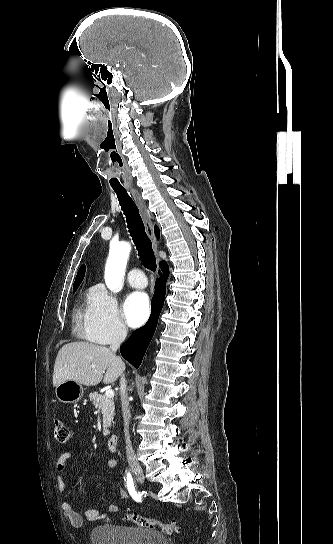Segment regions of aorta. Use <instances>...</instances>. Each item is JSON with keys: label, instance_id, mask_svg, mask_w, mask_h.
Returning <instances> with one entry per match:
<instances>
[{"label": "aorta", "instance_id": "obj_1", "mask_svg": "<svg viewBox=\"0 0 333 544\" xmlns=\"http://www.w3.org/2000/svg\"><path fill=\"white\" fill-rule=\"evenodd\" d=\"M130 250V244L124 242L110 249L105 268V283L113 292L120 291Z\"/></svg>", "mask_w": 333, "mask_h": 544}]
</instances>
